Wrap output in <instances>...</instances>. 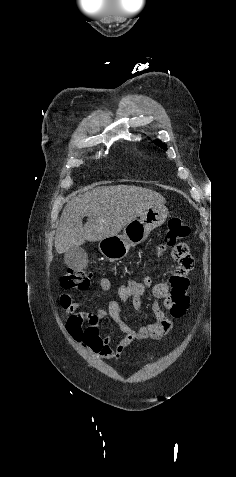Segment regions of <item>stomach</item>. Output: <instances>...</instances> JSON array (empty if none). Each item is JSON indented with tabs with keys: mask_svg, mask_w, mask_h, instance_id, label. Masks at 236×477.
I'll list each match as a JSON object with an SVG mask.
<instances>
[{
	"mask_svg": "<svg viewBox=\"0 0 236 477\" xmlns=\"http://www.w3.org/2000/svg\"><path fill=\"white\" fill-rule=\"evenodd\" d=\"M168 216V209L155 205L144 211L138 219L130 222L122 235L110 236L99 242V250L110 261L123 259L130 247L147 240L150 232L161 226Z\"/></svg>",
	"mask_w": 236,
	"mask_h": 477,
	"instance_id": "obj_1",
	"label": "stomach"
}]
</instances>
